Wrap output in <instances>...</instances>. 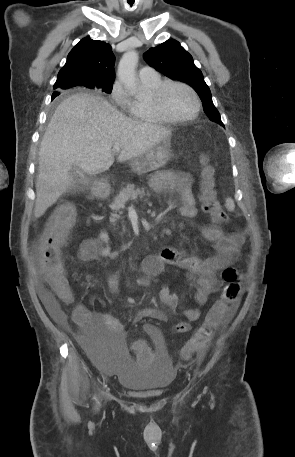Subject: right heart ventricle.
Here are the masks:
<instances>
[{"mask_svg":"<svg viewBox=\"0 0 295 457\" xmlns=\"http://www.w3.org/2000/svg\"><path fill=\"white\" fill-rule=\"evenodd\" d=\"M162 82L163 80L159 75L152 79L141 80L142 85L148 91L149 95L145 99L132 100L129 112L134 120L147 124H161L165 122L155 112L151 102L152 92Z\"/></svg>","mask_w":295,"mask_h":457,"instance_id":"right-heart-ventricle-1","label":"right heart ventricle"}]
</instances>
